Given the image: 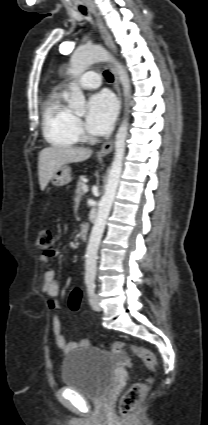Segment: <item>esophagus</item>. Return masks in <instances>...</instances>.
I'll use <instances>...</instances> for the list:
<instances>
[{
	"label": "esophagus",
	"instance_id": "esophagus-1",
	"mask_svg": "<svg viewBox=\"0 0 208 425\" xmlns=\"http://www.w3.org/2000/svg\"><path fill=\"white\" fill-rule=\"evenodd\" d=\"M90 11L93 13V15L95 16V18L97 20V24H98L101 36H102V38L105 42V45L113 53H115V46H114L113 40H112L110 34L108 33V31H107V29H106V27H105V25L102 21L100 14L95 10L94 7H91ZM111 71L114 75V86H115V90L117 92L118 99H119V102H120V105H121L122 104V96H121V90H120V85H119V79H118L116 68L113 65H111ZM112 149H113V139L111 138L102 145L98 154L100 156H106L109 153H111Z\"/></svg>",
	"mask_w": 208,
	"mask_h": 425
}]
</instances>
